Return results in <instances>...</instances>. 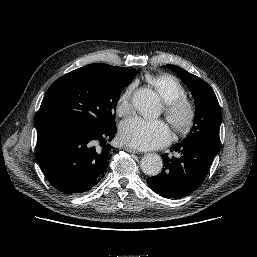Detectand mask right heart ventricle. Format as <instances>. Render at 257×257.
Masks as SVG:
<instances>
[{"mask_svg": "<svg viewBox=\"0 0 257 257\" xmlns=\"http://www.w3.org/2000/svg\"><path fill=\"white\" fill-rule=\"evenodd\" d=\"M146 81L157 91L164 102H170L185 96L180 81L170 74L146 75Z\"/></svg>", "mask_w": 257, "mask_h": 257, "instance_id": "obj_1", "label": "right heart ventricle"}]
</instances>
